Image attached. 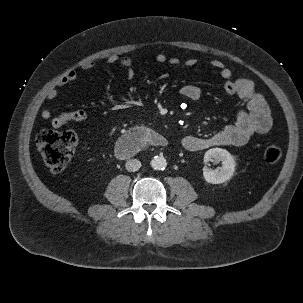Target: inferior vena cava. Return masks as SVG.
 Segmentation results:
<instances>
[{"instance_id":"1","label":"inferior vena cava","mask_w":303,"mask_h":303,"mask_svg":"<svg viewBox=\"0 0 303 303\" xmlns=\"http://www.w3.org/2000/svg\"><path fill=\"white\" fill-rule=\"evenodd\" d=\"M126 170L129 172H135L141 167V162L137 159H130L125 164Z\"/></svg>"}]
</instances>
